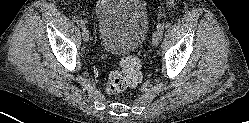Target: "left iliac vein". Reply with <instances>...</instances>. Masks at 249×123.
Listing matches in <instances>:
<instances>
[{"mask_svg": "<svg viewBox=\"0 0 249 123\" xmlns=\"http://www.w3.org/2000/svg\"><path fill=\"white\" fill-rule=\"evenodd\" d=\"M161 38H162V32L160 30H156L152 36L153 45L157 46L160 43Z\"/></svg>", "mask_w": 249, "mask_h": 123, "instance_id": "left-iliac-vein-1", "label": "left iliac vein"}]
</instances>
